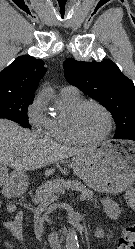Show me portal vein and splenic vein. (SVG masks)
I'll use <instances>...</instances> for the list:
<instances>
[{"label": "portal vein and splenic vein", "mask_w": 135, "mask_h": 249, "mask_svg": "<svg viewBox=\"0 0 135 249\" xmlns=\"http://www.w3.org/2000/svg\"><path fill=\"white\" fill-rule=\"evenodd\" d=\"M56 199H57V197H52V198H51V201H55ZM80 200H81V201H84V200H85V197H84V196H81V197H80Z\"/></svg>", "instance_id": "1"}]
</instances>
